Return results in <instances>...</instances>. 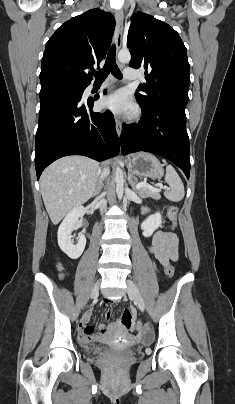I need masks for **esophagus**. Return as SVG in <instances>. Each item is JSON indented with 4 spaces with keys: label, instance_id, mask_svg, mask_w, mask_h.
<instances>
[{
    "label": "esophagus",
    "instance_id": "34e87169",
    "mask_svg": "<svg viewBox=\"0 0 235 404\" xmlns=\"http://www.w3.org/2000/svg\"><path fill=\"white\" fill-rule=\"evenodd\" d=\"M115 19H116V23H117L116 48H117V50H120V48L122 46L123 22H124V15H123L122 10H120V9L116 10ZM115 126H116V132H117L118 136L120 137L121 132H122V123L118 118L115 119Z\"/></svg>",
    "mask_w": 235,
    "mask_h": 404
}]
</instances>
